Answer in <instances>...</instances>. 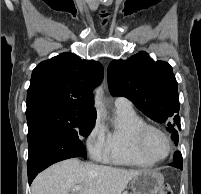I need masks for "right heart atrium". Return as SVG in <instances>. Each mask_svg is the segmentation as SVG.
<instances>
[{"instance_id": "d8ad5b80", "label": "right heart atrium", "mask_w": 201, "mask_h": 194, "mask_svg": "<svg viewBox=\"0 0 201 194\" xmlns=\"http://www.w3.org/2000/svg\"><path fill=\"white\" fill-rule=\"evenodd\" d=\"M87 147L94 157H100L105 149V131L104 126L97 118L90 128L86 137Z\"/></svg>"}]
</instances>
